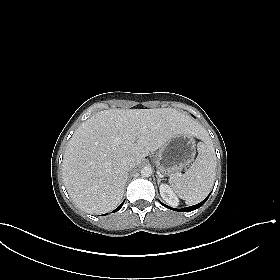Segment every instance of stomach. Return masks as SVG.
Masks as SVG:
<instances>
[{"mask_svg": "<svg viewBox=\"0 0 280 280\" xmlns=\"http://www.w3.org/2000/svg\"><path fill=\"white\" fill-rule=\"evenodd\" d=\"M194 136L182 133L167 141L155 155V165L162 175H172L188 166L195 157Z\"/></svg>", "mask_w": 280, "mask_h": 280, "instance_id": "obj_1", "label": "stomach"}]
</instances>
